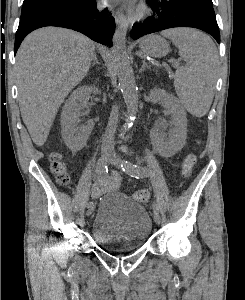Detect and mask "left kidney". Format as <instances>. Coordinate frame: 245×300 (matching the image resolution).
<instances>
[{
  "label": "left kidney",
  "instance_id": "obj_1",
  "mask_svg": "<svg viewBox=\"0 0 245 300\" xmlns=\"http://www.w3.org/2000/svg\"><path fill=\"white\" fill-rule=\"evenodd\" d=\"M153 103H161L172 115L173 128L169 130L168 137L164 132L165 128L157 131L154 142L156 147L165 155L171 156L179 151L186 140L187 133V115L176 97L168 94L163 89H153L149 94Z\"/></svg>",
  "mask_w": 245,
  "mask_h": 300
}]
</instances>
